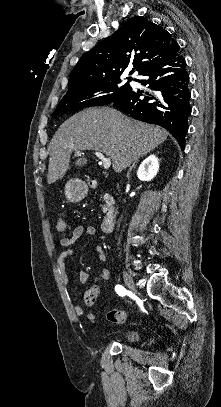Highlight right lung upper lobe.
<instances>
[{"label": "right lung upper lobe", "mask_w": 221, "mask_h": 407, "mask_svg": "<svg viewBox=\"0 0 221 407\" xmlns=\"http://www.w3.org/2000/svg\"><path fill=\"white\" fill-rule=\"evenodd\" d=\"M176 44L162 27L135 16L81 56L70 74L68 92L105 82H120L121 74L130 65L141 74L166 57Z\"/></svg>", "instance_id": "obj_1"}]
</instances>
